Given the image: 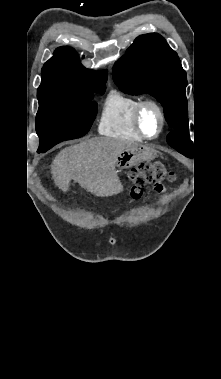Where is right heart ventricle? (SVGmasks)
<instances>
[{"instance_id": "right-heart-ventricle-1", "label": "right heart ventricle", "mask_w": 221, "mask_h": 379, "mask_svg": "<svg viewBox=\"0 0 221 379\" xmlns=\"http://www.w3.org/2000/svg\"><path fill=\"white\" fill-rule=\"evenodd\" d=\"M140 102V98L120 91L110 92L103 104L98 123L99 132L125 140H142L143 137L136 131L133 123V113Z\"/></svg>"}]
</instances>
